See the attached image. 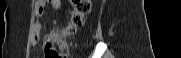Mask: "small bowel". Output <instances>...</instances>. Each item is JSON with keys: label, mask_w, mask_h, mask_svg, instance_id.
<instances>
[{"label": "small bowel", "mask_w": 181, "mask_h": 58, "mask_svg": "<svg viewBox=\"0 0 181 58\" xmlns=\"http://www.w3.org/2000/svg\"><path fill=\"white\" fill-rule=\"evenodd\" d=\"M47 3L50 4L51 8L53 9H59L62 5L61 0H37L35 1V7H34V14L36 18V23L34 25V37H33V44H37L40 33H41V25L39 23V19L43 16L45 11V6ZM58 34L56 32H51L47 35V38H56Z\"/></svg>", "instance_id": "obj_1"}]
</instances>
